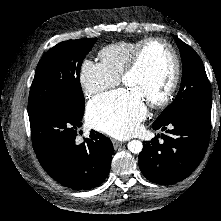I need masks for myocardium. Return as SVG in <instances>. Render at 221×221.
<instances>
[{
	"label": "myocardium",
	"mask_w": 221,
	"mask_h": 221,
	"mask_svg": "<svg viewBox=\"0 0 221 221\" xmlns=\"http://www.w3.org/2000/svg\"><path fill=\"white\" fill-rule=\"evenodd\" d=\"M152 44L163 45L169 52L172 61L170 79L165 91L157 99L147 103V105L151 108H159L166 105L173 97L180 75V60L178 54L168 40L160 37H150L144 39L140 44H138L130 58L129 63L121 74V82L124 84L126 78L137 70L144 51Z\"/></svg>",
	"instance_id": "myocardium-1"
}]
</instances>
